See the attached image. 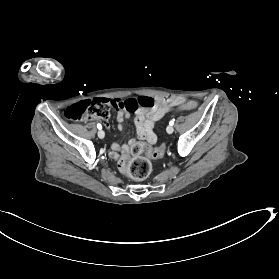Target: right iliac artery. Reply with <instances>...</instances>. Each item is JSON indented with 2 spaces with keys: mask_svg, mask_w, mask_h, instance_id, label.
Returning <instances> with one entry per match:
<instances>
[{
  "mask_svg": "<svg viewBox=\"0 0 279 279\" xmlns=\"http://www.w3.org/2000/svg\"><path fill=\"white\" fill-rule=\"evenodd\" d=\"M97 128L98 129H102V125L101 124H97Z\"/></svg>",
  "mask_w": 279,
  "mask_h": 279,
  "instance_id": "obj_1",
  "label": "right iliac artery"
}]
</instances>
